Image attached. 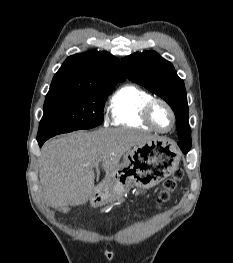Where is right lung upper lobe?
<instances>
[{"label": "right lung upper lobe", "instance_id": "1", "mask_svg": "<svg viewBox=\"0 0 233 263\" xmlns=\"http://www.w3.org/2000/svg\"><path fill=\"white\" fill-rule=\"evenodd\" d=\"M119 60L105 51L69 56L54 75L46 96L69 92H94L124 81Z\"/></svg>", "mask_w": 233, "mask_h": 263}]
</instances>
